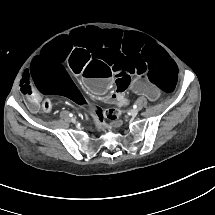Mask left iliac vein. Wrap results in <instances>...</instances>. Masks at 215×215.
<instances>
[{
  "instance_id": "left-iliac-vein-1",
  "label": "left iliac vein",
  "mask_w": 215,
  "mask_h": 215,
  "mask_svg": "<svg viewBox=\"0 0 215 215\" xmlns=\"http://www.w3.org/2000/svg\"><path fill=\"white\" fill-rule=\"evenodd\" d=\"M129 114H130L131 116H133V117H136L137 114H138V110H137V109H132V110H130Z\"/></svg>"
}]
</instances>
